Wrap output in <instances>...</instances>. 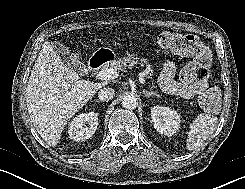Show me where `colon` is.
Here are the masks:
<instances>
[{
	"mask_svg": "<svg viewBox=\"0 0 245 189\" xmlns=\"http://www.w3.org/2000/svg\"><path fill=\"white\" fill-rule=\"evenodd\" d=\"M158 42L162 48L174 54L192 57L180 72L184 84L194 85L206 79L212 65V54L196 36L166 31L159 36ZM220 99V90L211 88L199 96L198 103L205 109H215L219 106Z\"/></svg>",
	"mask_w": 245,
	"mask_h": 189,
	"instance_id": "colon-1",
	"label": "colon"
}]
</instances>
